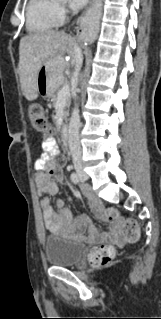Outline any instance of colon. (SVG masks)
I'll return each instance as SVG.
<instances>
[{"mask_svg":"<svg viewBox=\"0 0 161 319\" xmlns=\"http://www.w3.org/2000/svg\"><path fill=\"white\" fill-rule=\"evenodd\" d=\"M28 116L33 128L42 134H51L54 131L52 124L44 116V109L39 104H33L28 108ZM51 145L54 146L55 141L51 138L49 141ZM66 160L61 157L57 159L50 168L49 172L52 176H61L63 174V169L65 167ZM106 216L111 219H115V212L113 210H108ZM126 239L129 241H135L139 238V227L138 224L132 220L128 219L123 223ZM116 252L114 248L107 244H99L93 247L89 253V262L94 267H104L110 265L115 258Z\"/></svg>","mask_w":161,"mask_h":319,"instance_id":"5ec220e1","label":"colon"}]
</instances>
